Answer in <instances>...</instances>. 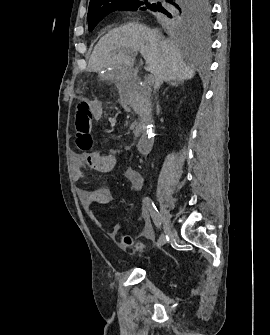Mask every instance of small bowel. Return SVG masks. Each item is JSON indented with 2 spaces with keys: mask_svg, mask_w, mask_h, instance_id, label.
<instances>
[{
  "mask_svg": "<svg viewBox=\"0 0 270 335\" xmlns=\"http://www.w3.org/2000/svg\"><path fill=\"white\" fill-rule=\"evenodd\" d=\"M92 115L95 120H100L103 117V109L101 105L93 101ZM126 152V149L115 150L112 153L102 154L100 152H91L84 154H75L72 160V173L73 178L76 181H80L87 175L88 171L93 170L100 173H109L115 169L118 160ZM124 176L130 183L133 192H138L143 187V178L138 170L132 167H125L123 170ZM79 197L81 203L89 215V217L95 222L99 228H104V224L100 221L93 211V206L99 204L107 207L114 200L113 194L104 187L94 189H79ZM142 216L144 223L140 231L142 237L148 238L152 235L153 230L149 221L148 211L143 208ZM119 230V225H114L111 230L106 231L109 236H115Z\"/></svg>",
  "mask_w": 270,
  "mask_h": 335,
  "instance_id": "obj_1",
  "label": "small bowel"
}]
</instances>
